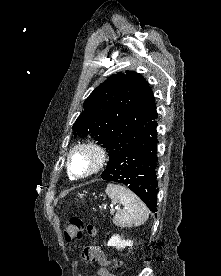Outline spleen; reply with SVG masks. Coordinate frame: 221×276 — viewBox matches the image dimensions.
<instances>
[{
  "mask_svg": "<svg viewBox=\"0 0 221 276\" xmlns=\"http://www.w3.org/2000/svg\"><path fill=\"white\" fill-rule=\"evenodd\" d=\"M106 194L114 201H118L123 208L118 210L113 217V223L119 227H134L144 224L149 211L146 205L131 190L121 185L109 183Z\"/></svg>",
  "mask_w": 221,
  "mask_h": 276,
  "instance_id": "spleen-1",
  "label": "spleen"
}]
</instances>
